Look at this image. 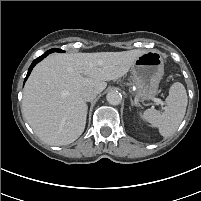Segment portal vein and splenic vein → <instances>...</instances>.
I'll return each instance as SVG.
<instances>
[{
  "label": "portal vein and splenic vein",
  "mask_w": 201,
  "mask_h": 201,
  "mask_svg": "<svg viewBox=\"0 0 201 201\" xmlns=\"http://www.w3.org/2000/svg\"><path fill=\"white\" fill-rule=\"evenodd\" d=\"M155 102H157L158 104H163V101L161 99H155Z\"/></svg>",
  "instance_id": "portal-vein-and-splenic-vein-1"
}]
</instances>
